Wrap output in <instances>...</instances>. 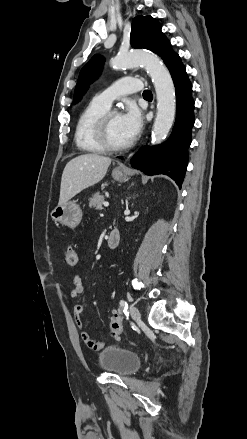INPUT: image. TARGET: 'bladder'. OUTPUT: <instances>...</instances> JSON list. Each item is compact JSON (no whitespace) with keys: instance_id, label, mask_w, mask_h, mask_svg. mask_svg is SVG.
I'll list each match as a JSON object with an SVG mask.
<instances>
[{"instance_id":"obj_1","label":"bladder","mask_w":247,"mask_h":439,"mask_svg":"<svg viewBox=\"0 0 247 439\" xmlns=\"http://www.w3.org/2000/svg\"><path fill=\"white\" fill-rule=\"evenodd\" d=\"M100 367L119 376H129L137 372L141 366L140 356L120 346H108L99 354Z\"/></svg>"}]
</instances>
